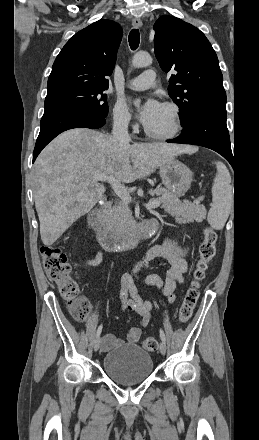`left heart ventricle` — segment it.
<instances>
[{
    "label": "left heart ventricle",
    "instance_id": "left-heart-ventricle-1",
    "mask_svg": "<svg viewBox=\"0 0 259 440\" xmlns=\"http://www.w3.org/2000/svg\"><path fill=\"white\" fill-rule=\"evenodd\" d=\"M146 127L155 133L168 132L171 128V115L169 110L162 106L159 115Z\"/></svg>",
    "mask_w": 259,
    "mask_h": 440
}]
</instances>
